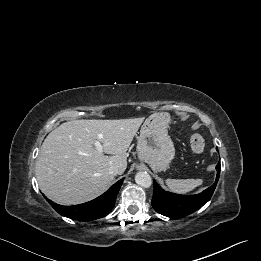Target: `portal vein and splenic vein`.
<instances>
[{"mask_svg": "<svg viewBox=\"0 0 261 261\" xmlns=\"http://www.w3.org/2000/svg\"><path fill=\"white\" fill-rule=\"evenodd\" d=\"M99 138H102V136H100ZM94 145L99 152H103V145L99 141H95Z\"/></svg>", "mask_w": 261, "mask_h": 261, "instance_id": "obj_1", "label": "portal vein and splenic vein"}]
</instances>
